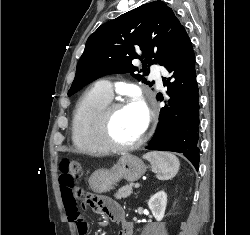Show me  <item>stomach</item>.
<instances>
[{"mask_svg":"<svg viewBox=\"0 0 250 235\" xmlns=\"http://www.w3.org/2000/svg\"><path fill=\"white\" fill-rule=\"evenodd\" d=\"M146 169L147 167L140 158L125 153L113 168L94 172L89 180L90 188L99 194L109 192L122 179L128 182L137 181Z\"/></svg>","mask_w":250,"mask_h":235,"instance_id":"stomach-1","label":"stomach"}]
</instances>
